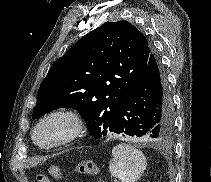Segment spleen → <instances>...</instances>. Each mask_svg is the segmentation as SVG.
Segmentation results:
<instances>
[{
  "label": "spleen",
  "mask_w": 211,
  "mask_h": 182,
  "mask_svg": "<svg viewBox=\"0 0 211 182\" xmlns=\"http://www.w3.org/2000/svg\"><path fill=\"white\" fill-rule=\"evenodd\" d=\"M109 172L121 182H137L146 169L144 154L132 145L120 143L112 149Z\"/></svg>",
  "instance_id": "1"
}]
</instances>
